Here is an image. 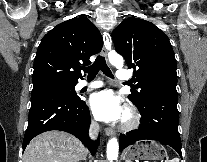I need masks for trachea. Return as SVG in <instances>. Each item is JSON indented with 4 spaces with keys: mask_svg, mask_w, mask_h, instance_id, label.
Here are the masks:
<instances>
[{
    "mask_svg": "<svg viewBox=\"0 0 207 162\" xmlns=\"http://www.w3.org/2000/svg\"><path fill=\"white\" fill-rule=\"evenodd\" d=\"M83 70L88 73V79H94L99 70H101L106 76L113 78V75L106 64L105 58L102 56H98L91 66L86 67Z\"/></svg>",
    "mask_w": 207,
    "mask_h": 162,
    "instance_id": "3493384b",
    "label": "trachea"
}]
</instances>
